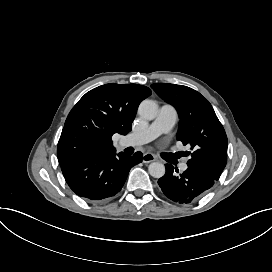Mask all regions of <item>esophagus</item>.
<instances>
[{"label": "esophagus", "mask_w": 272, "mask_h": 272, "mask_svg": "<svg viewBox=\"0 0 272 272\" xmlns=\"http://www.w3.org/2000/svg\"><path fill=\"white\" fill-rule=\"evenodd\" d=\"M156 156L152 153H144L143 156H142V161L143 163H150V162H153V161H156Z\"/></svg>", "instance_id": "obj_1"}]
</instances>
